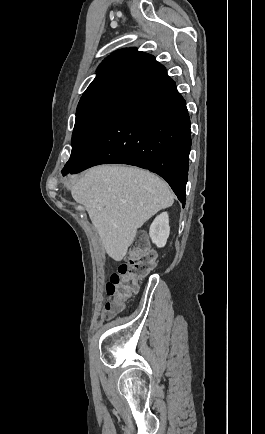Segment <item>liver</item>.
I'll list each match as a JSON object with an SVG mask.
<instances>
[{
    "instance_id": "liver-1",
    "label": "liver",
    "mask_w": 265,
    "mask_h": 434,
    "mask_svg": "<svg viewBox=\"0 0 265 434\" xmlns=\"http://www.w3.org/2000/svg\"><path fill=\"white\" fill-rule=\"evenodd\" d=\"M70 184L72 198L86 208L115 262L125 258L138 228L174 202L164 180L138 168L96 166L81 176H72Z\"/></svg>"
}]
</instances>
